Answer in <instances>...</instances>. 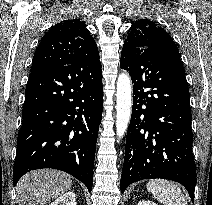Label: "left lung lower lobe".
<instances>
[{
	"label": "left lung lower lobe",
	"mask_w": 212,
	"mask_h": 205,
	"mask_svg": "<svg viewBox=\"0 0 212 205\" xmlns=\"http://www.w3.org/2000/svg\"><path fill=\"white\" fill-rule=\"evenodd\" d=\"M120 66L134 83L121 192L133 182L163 178L182 184L194 201L190 97L179 52L157 46L135 48L121 58Z\"/></svg>",
	"instance_id": "0a47b994"
}]
</instances>
